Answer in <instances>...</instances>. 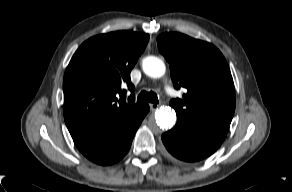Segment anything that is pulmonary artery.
<instances>
[{
  "mask_svg": "<svg viewBox=\"0 0 292 192\" xmlns=\"http://www.w3.org/2000/svg\"><path fill=\"white\" fill-rule=\"evenodd\" d=\"M166 91H167L168 93H171V90H170L169 87H166Z\"/></svg>",
  "mask_w": 292,
  "mask_h": 192,
  "instance_id": "obj_1",
  "label": "pulmonary artery"
}]
</instances>
